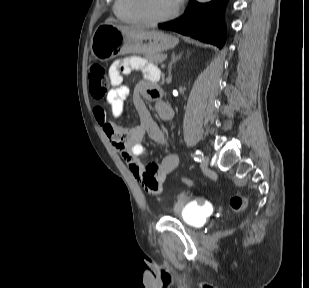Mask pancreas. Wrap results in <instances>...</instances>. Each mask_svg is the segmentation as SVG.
<instances>
[{
    "label": "pancreas",
    "mask_w": 309,
    "mask_h": 288,
    "mask_svg": "<svg viewBox=\"0 0 309 288\" xmlns=\"http://www.w3.org/2000/svg\"><path fill=\"white\" fill-rule=\"evenodd\" d=\"M146 59L150 63L158 64V63H162L163 62V60L165 59V55L162 54V53L148 54V55H146Z\"/></svg>",
    "instance_id": "pancreas-1"
}]
</instances>
